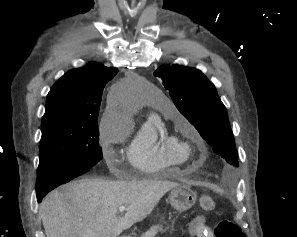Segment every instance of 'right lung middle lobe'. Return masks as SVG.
<instances>
[{
    "label": "right lung middle lobe",
    "instance_id": "dd1d6c3e",
    "mask_svg": "<svg viewBox=\"0 0 297 237\" xmlns=\"http://www.w3.org/2000/svg\"><path fill=\"white\" fill-rule=\"evenodd\" d=\"M101 159L97 120L59 119L42 124L36 188H55L61 178L80 176Z\"/></svg>",
    "mask_w": 297,
    "mask_h": 237
}]
</instances>
